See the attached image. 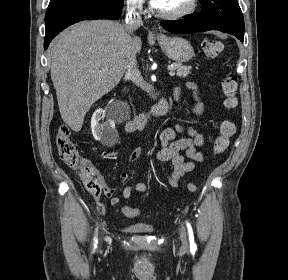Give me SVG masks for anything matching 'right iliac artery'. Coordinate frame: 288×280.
<instances>
[{"mask_svg":"<svg viewBox=\"0 0 288 280\" xmlns=\"http://www.w3.org/2000/svg\"><path fill=\"white\" fill-rule=\"evenodd\" d=\"M96 246H97V234L94 237V248H96Z\"/></svg>","mask_w":288,"mask_h":280,"instance_id":"82829eb1","label":"right iliac artery"}]
</instances>
